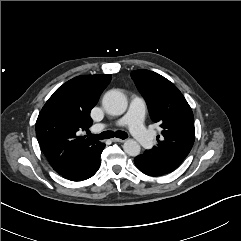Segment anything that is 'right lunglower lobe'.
Returning <instances> with one entry per match:
<instances>
[{
	"instance_id": "98d812e1",
	"label": "right lung lower lobe",
	"mask_w": 241,
	"mask_h": 241,
	"mask_svg": "<svg viewBox=\"0 0 241 241\" xmlns=\"http://www.w3.org/2000/svg\"><path fill=\"white\" fill-rule=\"evenodd\" d=\"M104 147L105 145L103 144L91 156L79 160L60 175L71 181H82L92 177L99 169L100 156Z\"/></svg>"
}]
</instances>
